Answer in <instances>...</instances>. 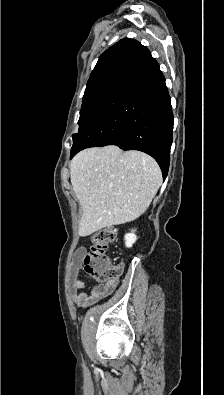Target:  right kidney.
I'll return each instance as SVG.
<instances>
[{
	"label": "right kidney",
	"mask_w": 224,
	"mask_h": 395,
	"mask_svg": "<svg viewBox=\"0 0 224 395\" xmlns=\"http://www.w3.org/2000/svg\"><path fill=\"white\" fill-rule=\"evenodd\" d=\"M135 230H132L131 233L125 235V245L130 248L136 242L137 236L134 233Z\"/></svg>",
	"instance_id": "1"
}]
</instances>
